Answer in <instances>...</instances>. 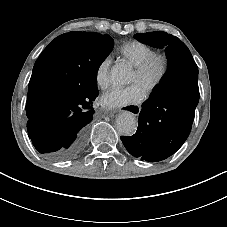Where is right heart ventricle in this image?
Here are the masks:
<instances>
[{
  "label": "right heart ventricle",
  "mask_w": 227,
  "mask_h": 227,
  "mask_svg": "<svg viewBox=\"0 0 227 227\" xmlns=\"http://www.w3.org/2000/svg\"><path fill=\"white\" fill-rule=\"evenodd\" d=\"M119 52L132 67L136 68L154 51L147 43L139 40H130L119 47Z\"/></svg>",
  "instance_id": "right-heart-ventricle-1"
}]
</instances>
